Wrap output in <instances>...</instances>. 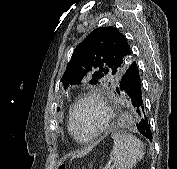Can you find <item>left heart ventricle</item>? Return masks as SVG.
<instances>
[{"instance_id":"left-heart-ventricle-1","label":"left heart ventricle","mask_w":177,"mask_h":169,"mask_svg":"<svg viewBox=\"0 0 177 169\" xmlns=\"http://www.w3.org/2000/svg\"><path fill=\"white\" fill-rule=\"evenodd\" d=\"M103 113L93 100L83 102L76 113L75 123L80 135H90L101 125Z\"/></svg>"}]
</instances>
